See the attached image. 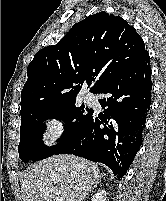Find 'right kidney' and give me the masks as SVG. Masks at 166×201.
Wrapping results in <instances>:
<instances>
[{"label":"right kidney","mask_w":166,"mask_h":201,"mask_svg":"<svg viewBox=\"0 0 166 201\" xmlns=\"http://www.w3.org/2000/svg\"><path fill=\"white\" fill-rule=\"evenodd\" d=\"M107 193L105 190H99L92 198L91 201H106Z\"/></svg>","instance_id":"right-kidney-1"}]
</instances>
